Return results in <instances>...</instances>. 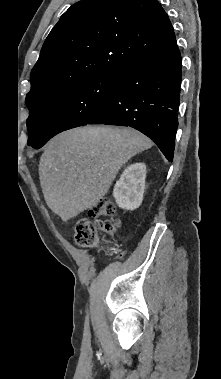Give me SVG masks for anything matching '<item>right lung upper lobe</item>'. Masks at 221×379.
I'll return each mask as SVG.
<instances>
[{"mask_svg": "<svg viewBox=\"0 0 221 379\" xmlns=\"http://www.w3.org/2000/svg\"><path fill=\"white\" fill-rule=\"evenodd\" d=\"M175 40L157 0H82L46 38L31 72L26 103L75 80L119 71Z\"/></svg>", "mask_w": 221, "mask_h": 379, "instance_id": "cb5924a9", "label": "right lung upper lobe"}]
</instances>
